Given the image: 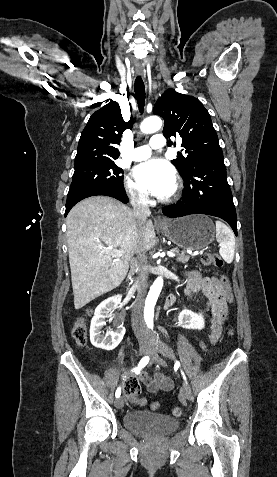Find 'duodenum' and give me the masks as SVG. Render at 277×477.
<instances>
[{
    "mask_svg": "<svg viewBox=\"0 0 277 477\" xmlns=\"http://www.w3.org/2000/svg\"><path fill=\"white\" fill-rule=\"evenodd\" d=\"M174 303V299L172 297H169L166 301V306L169 307Z\"/></svg>",
    "mask_w": 277,
    "mask_h": 477,
    "instance_id": "1",
    "label": "duodenum"
}]
</instances>
